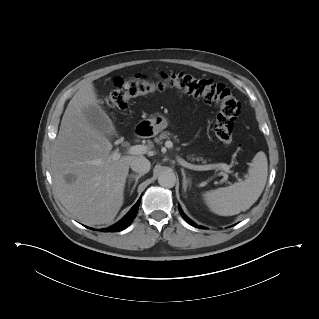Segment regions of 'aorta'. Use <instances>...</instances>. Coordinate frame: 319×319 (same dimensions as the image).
Instances as JSON below:
<instances>
[{"instance_id":"obj_1","label":"aorta","mask_w":319,"mask_h":319,"mask_svg":"<svg viewBox=\"0 0 319 319\" xmlns=\"http://www.w3.org/2000/svg\"><path fill=\"white\" fill-rule=\"evenodd\" d=\"M158 183L165 188H172L176 183V176L172 171H163L158 177Z\"/></svg>"}]
</instances>
